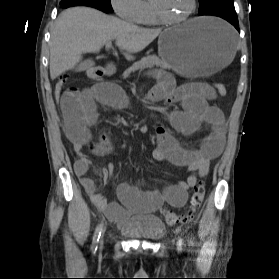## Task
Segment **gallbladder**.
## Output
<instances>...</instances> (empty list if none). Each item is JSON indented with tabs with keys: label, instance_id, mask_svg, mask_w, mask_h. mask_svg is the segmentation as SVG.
I'll return each mask as SVG.
<instances>
[{
	"label": "gallbladder",
	"instance_id": "obj_1",
	"mask_svg": "<svg viewBox=\"0 0 279 279\" xmlns=\"http://www.w3.org/2000/svg\"><path fill=\"white\" fill-rule=\"evenodd\" d=\"M90 64L88 61H84V62H81L77 68H76V71L78 72H81V71H85L89 68Z\"/></svg>",
	"mask_w": 279,
	"mask_h": 279
}]
</instances>
